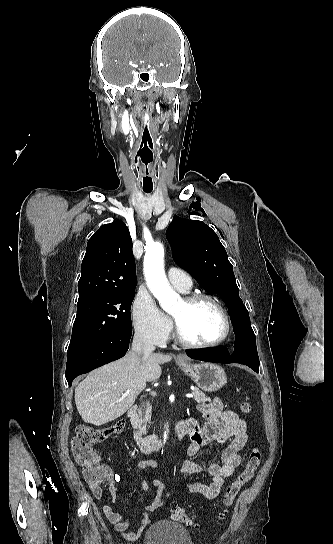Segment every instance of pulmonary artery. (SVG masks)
Masks as SVG:
<instances>
[{
  "instance_id": "pulmonary-artery-1",
  "label": "pulmonary artery",
  "mask_w": 333,
  "mask_h": 544,
  "mask_svg": "<svg viewBox=\"0 0 333 544\" xmlns=\"http://www.w3.org/2000/svg\"><path fill=\"white\" fill-rule=\"evenodd\" d=\"M167 276L171 285L181 292H187L192 287L191 277L182 269L171 267L167 271Z\"/></svg>"
}]
</instances>
